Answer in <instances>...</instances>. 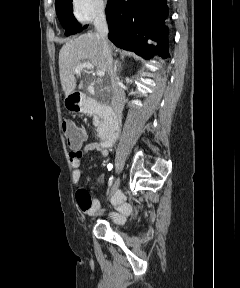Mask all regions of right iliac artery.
<instances>
[{
	"label": "right iliac artery",
	"instance_id": "1",
	"mask_svg": "<svg viewBox=\"0 0 240 288\" xmlns=\"http://www.w3.org/2000/svg\"><path fill=\"white\" fill-rule=\"evenodd\" d=\"M108 169H109V170L112 169V164H108ZM113 180H114V178H113V176H111V177L109 178V181H108L109 186L112 185Z\"/></svg>",
	"mask_w": 240,
	"mask_h": 288
}]
</instances>
